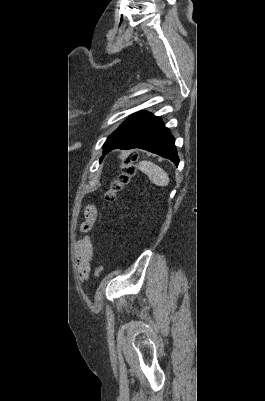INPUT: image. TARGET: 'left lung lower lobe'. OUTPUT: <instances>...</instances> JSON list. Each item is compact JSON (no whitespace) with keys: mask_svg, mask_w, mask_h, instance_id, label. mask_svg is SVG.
<instances>
[{"mask_svg":"<svg viewBox=\"0 0 265 401\" xmlns=\"http://www.w3.org/2000/svg\"><path fill=\"white\" fill-rule=\"evenodd\" d=\"M117 148H141L179 163L175 139L161 119L148 112L136 113L124 121L104 143L103 155Z\"/></svg>","mask_w":265,"mask_h":401,"instance_id":"obj_1","label":"left lung lower lobe"}]
</instances>
